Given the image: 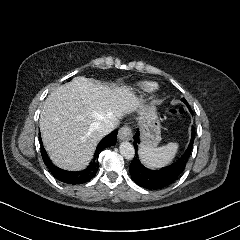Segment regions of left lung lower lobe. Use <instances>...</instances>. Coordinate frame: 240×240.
<instances>
[{"mask_svg":"<svg viewBox=\"0 0 240 240\" xmlns=\"http://www.w3.org/2000/svg\"><path fill=\"white\" fill-rule=\"evenodd\" d=\"M194 137L195 131L193 127L191 141L184 155L176 163H173L172 165L160 170H150L144 167L140 163L136 152V156L132 160L129 167L132 180L139 186L150 190L162 189L169 186L182 173L183 169L185 168V165L192 150ZM139 143V131L137 130L136 134L134 135L133 142L135 151H137Z\"/></svg>","mask_w":240,"mask_h":240,"instance_id":"0a47b994","label":"left lung lower lobe"}]
</instances>
